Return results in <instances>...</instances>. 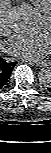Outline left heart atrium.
<instances>
[{
	"instance_id": "left-heart-atrium-1",
	"label": "left heart atrium",
	"mask_w": 51,
	"mask_h": 153,
	"mask_svg": "<svg viewBox=\"0 0 51 153\" xmlns=\"http://www.w3.org/2000/svg\"><path fill=\"white\" fill-rule=\"evenodd\" d=\"M6 47L17 58L36 61L49 53L51 36L46 30L37 34H18L6 42Z\"/></svg>"
}]
</instances>
